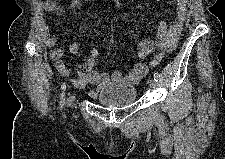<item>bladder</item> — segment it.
<instances>
[{"label": "bladder", "mask_w": 225, "mask_h": 159, "mask_svg": "<svg viewBox=\"0 0 225 159\" xmlns=\"http://www.w3.org/2000/svg\"><path fill=\"white\" fill-rule=\"evenodd\" d=\"M137 90L128 84H109L96 95V101L105 106L122 107L136 101Z\"/></svg>", "instance_id": "obj_1"}]
</instances>
